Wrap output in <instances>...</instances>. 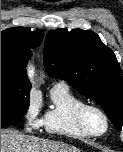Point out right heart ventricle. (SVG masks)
I'll list each match as a JSON object with an SVG mask.
<instances>
[{"mask_svg": "<svg viewBox=\"0 0 123 152\" xmlns=\"http://www.w3.org/2000/svg\"><path fill=\"white\" fill-rule=\"evenodd\" d=\"M51 105L42 117V127L51 135L73 139L90 137L77 124L76 111L85 104L66 85H54L50 92Z\"/></svg>", "mask_w": 123, "mask_h": 152, "instance_id": "e07e8e85", "label": "right heart ventricle"}]
</instances>
